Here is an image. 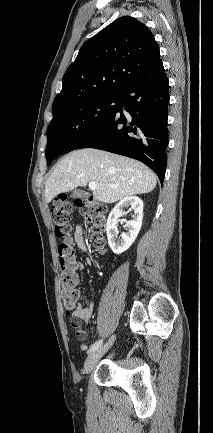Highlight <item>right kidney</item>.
<instances>
[{
  "label": "right kidney",
  "instance_id": "1",
  "mask_svg": "<svg viewBox=\"0 0 213 433\" xmlns=\"http://www.w3.org/2000/svg\"><path fill=\"white\" fill-rule=\"evenodd\" d=\"M130 206L134 211V216L132 220L126 222L127 232L121 234V239L117 240V221L118 218L126 213H123V208ZM143 219V201L136 196H129L123 198L113 210L110 212L107 220V238L108 244L112 249L113 253L121 254L126 251L135 241Z\"/></svg>",
  "mask_w": 213,
  "mask_h": 433
}]
</instances>
